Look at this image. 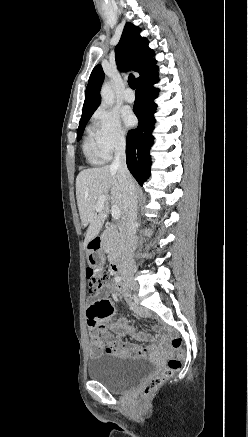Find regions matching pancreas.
<instances>
[{
  "mask_svg": "<svg viewBox=\"0 0 248 437\" xmlns=\"http://www.w3.org/2000/svg\"><path fill=\"white\" fill-rule=\"evenodd\" d=\"M105 245L109 252V260L116 258L122 250L123 238L121 232L114 226H111L105 233Z\"/></svg>",
  "mask_w": 248,
  "mask_h": 437,
  "instance_id": "pancreas-1",
  "label": "pancreas"
}]
</instances>
